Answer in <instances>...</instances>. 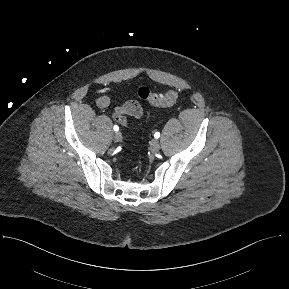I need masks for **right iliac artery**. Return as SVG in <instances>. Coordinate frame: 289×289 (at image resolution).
<instances>
[{
	"mask_svg": "<svg viewBox=\"0 0 289 289\" xmlns=\"http://www.w3.org/2000/svg\"><path fill=\"white\" fill-rule=\"evenodd\" d=\"M113 129H114V131H118L119 127L117 125H114Z\"/></svg>",
	"mask_w": 289,
	"mask_h": 289,
	"instance_id": "82829eb1",
	"label": "right iliac artery"
}]
</instances>
